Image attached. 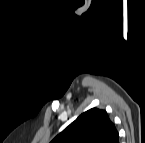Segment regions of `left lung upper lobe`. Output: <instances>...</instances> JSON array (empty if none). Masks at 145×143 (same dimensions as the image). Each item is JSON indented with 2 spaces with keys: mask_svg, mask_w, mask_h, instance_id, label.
Returning a JSON list of instances; mask_svg holds the SVG:
<instances>
[{
  "mask_svg": "<svg viewBox=\"0 0 145 143\" xmlns=\"http://www.w3.org/2000/svg\"><path fill=\"white\" fill-rule=\"evenodd\" d=\"M52 143H119V134L106 111L92 108L82 113Z\"/></svg>",
  "mask_w": 145,
  "mask_h": 143,
  "instance_id": "5c2ea615",
  "label": "left lung upper lobe"
}]
</instances>
